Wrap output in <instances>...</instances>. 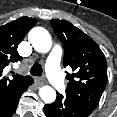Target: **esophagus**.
<instances>
[{"mask_svg": "<svg viewBox=\"0 0 117 117\" xmlns=\"http://www.w3.org/2000/svg\"><path fill=\"white\" fill-rule=\"evenodd\" d=\"M36 82L39 86H42L44 84V81L41 79H38Z\"/></svg>", "mask_w": 117, "mask_h": 117, "instance_id": "esophagus-1", "label": "esophagus"}]
</instances>
